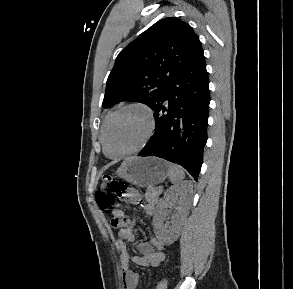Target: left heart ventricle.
<instances>
[{"label":"left heart ventricle","instance_id":"left-heart-ventricle-1","mask_svg":"<svg viewBox=\"0 0 293 289\" xmlns=\"http://www.w3.org/2000/svg\"><path fill=\"white\" fill-rule=\"evenodd\" d=\"M148 122L140 109H128L119 114L107 132V148L118 155L136 147L144 138Z\"/></svg>","mask_w":293,"mask_h":289}]
</instances>
